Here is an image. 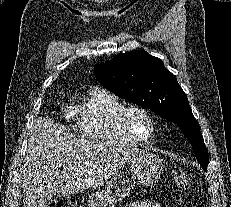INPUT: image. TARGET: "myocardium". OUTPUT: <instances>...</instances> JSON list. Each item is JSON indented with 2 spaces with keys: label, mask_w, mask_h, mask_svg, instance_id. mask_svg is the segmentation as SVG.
Masks as SVG:
<instances>
[{
  "label": "myocardium",
  "mask_w": 231,
  "mask_h": 207,
  "mask_svg": "<svg viewBox=\"0 0 231 207\" xmlns=\"http://www.w3.org/2000/svg\"><path fill=\"white\" fill-rule=\"evenodd\" d=\"M134 112H141L147 116L151 125V131L148 136H140L133 128L131 122V114ZM120 121L124 131L136 142H148L154 137L156 133L157 123L155 116L150 109L143 105L131 104L125 106L120 113Z\"/></svg>",
  "instance_id": "myocardium-1"
}]
</instances>
